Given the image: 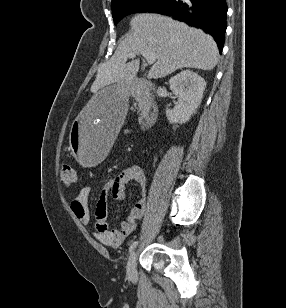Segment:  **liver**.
<instances>
[{
	"instance_id": "obj_1",
	"label": "liver",
	"mask_w": 286,
	"mask_h": 308,
	"mask_svg": "<svg viewBox=\"0 0 286 308\" xmlns=\"http://www.w3.org/2000/svg\"><path fill=\"white\" fill-rule=\"evenodd\" d=\"M130 26L132 33L119 44L110 60L99 65L92 93L97 95L114 83L128 85L140 65L139 59L126 63L132 53L157 54V61L148 73V77L154 79L182 68L211 70L218 62L214 39L185 23L158 14H139L131 20Z\"/></svg>"
}]
</instances>
